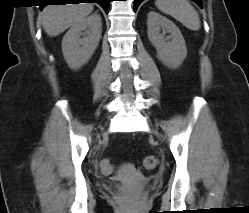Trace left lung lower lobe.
<instances>
[{
  "instance_id": "left-lung-lower-lobe-1",
  "label": "left lung lower lobe",
  "mask_w": 249,
  "mask_h": 213,
  "mask_svg": "<svg viewBox=\"0 0 249 213\" xmlns=\"http://www.w3.org/2000/svg\"><path fill=\"white\" fill-rule=\"evenodd\" d=\"M143 0H135V3H134V11L137 10L139 4L142 2ZM195 1L197 4H199L201 7H202V2L201 0H193Z\"/></svg>"
}]
</instances>
